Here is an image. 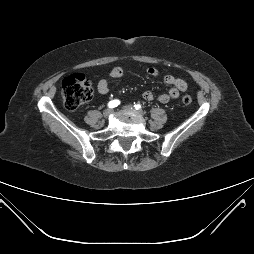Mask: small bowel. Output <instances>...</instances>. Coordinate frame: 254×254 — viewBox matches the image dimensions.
I'll return each mask as SVG.
<instances>
[{
  "label": "small bowel",
  "instance_id": "small-bowel-1",
  "mask_svg": "<svg viewBox=\"0 0 254 254\" xmlns=\"http://www.w3.org/2000/svg\"><path fill=\"white\" fill-rule=\"evenodd\" d=\"M124 74L123 70L120 67L112 68L108 73V78L100 79L97 83V90L100 94H107L109 92V79H117L122 77ZM147 74L152 77L158 76V70L154 67H150L147 69ZM163 81L166 85L170 86V89L166 93L160 94L157 99L161 103H168L173 99L179 97L181 92L187 90V83L185 80L179 77H175L172 75H166L163 78ZM143 98L146 101H152L155 98V95L151 91H145L143 93Z\"/></svg>",
  "mask_w": 254,
  "mask_h": 254
}]
</instances>
